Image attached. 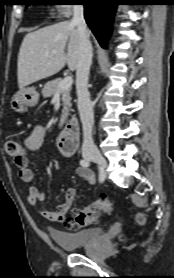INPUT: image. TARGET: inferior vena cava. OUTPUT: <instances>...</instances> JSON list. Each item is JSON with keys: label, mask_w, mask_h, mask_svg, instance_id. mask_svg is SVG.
<instances>
[{"label": "inferior vena cava", "mask_w": 174, "mask_h": 278, "mask_svg": "<svg viewBox=\"0 0 174 278\" xmlns=\"http://www.w3.org/2000/svg\"><path fill=\"white\" fill-rule=\"evenodd\" d=\"M71 24L77 27L80 38L79 59L76 66V92L77 105L83 127L82 153H96L98 150L92 138L94 124L93 105L87 88L92 63V46L84 19L83 5H74Z\"/></svg>", "instance_id": "obj_1"}]
</instances>
